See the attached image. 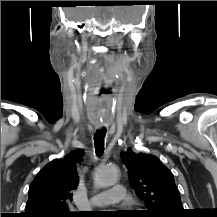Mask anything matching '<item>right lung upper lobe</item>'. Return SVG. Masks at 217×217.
Returning <instances> with one entry per match:
<instances>
[{
    "label": "right lung upper lobe",
    "instance_id": "right-lung-upper-lobe-1",
    "mask_svg": "<svg viewBox=\"0 0 217 217\" xmlns=\"http://www.w3.org/2000/svg\"><path fill=\"white\" fill-rule=\"evenodd\" d=\"M81 150L47 164L32 181L23 217H59L77 215L69 211L72 191L78 180L75 163Z\"/></svg>",
    "mask_w": 217,
    "mask_h": 217
}]
</instances>
